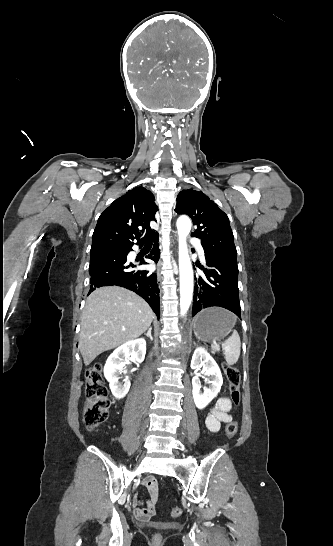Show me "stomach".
I'll return each mask as SVG.
<instances>
[{
    "instance_id": "0dacf381",
    "label": "stomach",
    "mask_w": 333,
    "mask_h": 546,
    "mask_svg": "<svg viewBox=\"0 0 333 546\" xmlns=\"http://www.w3.org/2000/svg\"><path fill=\"white\" fill-rule=\"evenodd\" d=\"M235 322L232 313L222 308L211 307L194 318V334L203 342H216L231 332Z\"/></svg>"
}]
</instances>
